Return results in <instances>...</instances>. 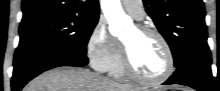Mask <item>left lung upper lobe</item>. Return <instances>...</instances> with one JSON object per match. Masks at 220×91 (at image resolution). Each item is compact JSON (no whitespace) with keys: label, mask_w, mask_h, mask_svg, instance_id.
Wrapping results in <instances>:
<instances>
[{"label":"left lung upper lobe","mask_w":220,"mask_h":91,"mask_svg":"<svg viewBox=\"0 0 220 91\" xmlns=\"http://www.w3.org/2000/svg\"><path fill=\"white\" fill-rule=\"evenodd\" d=\"M146 12L169 44L177 69L211 56L202 0H143Z\"/></svg>","instance_id":"5c2ea615"}]
</instances>
